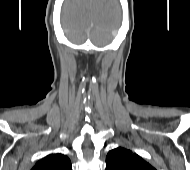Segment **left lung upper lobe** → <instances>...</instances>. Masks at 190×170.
Here are the masks:
<instances>
[{
    "label": "left lung upper lobe",
    "instance_id": "5c2ea615",
    "mask_svg": "<svg viewBox=\"0 0 190 170\" xmlns=\"http://www.w3.org/2000/svg\"><path fill=\"white\" fill-rule=\"evenodd\" d=\"M106 170H156L131 150L118 147L107 154Z\"/></svg>",
    "mask_w": 190,
    "mask_h": 170
}]
</instances>
